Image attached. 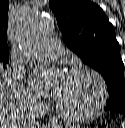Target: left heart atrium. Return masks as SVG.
Segmentation results:
<instances>
[{"label":"left heart atrium","mask_w":125,"mask_h":128,"mask_svg":"<svg viewBox=\"0 0 125 128\" xmlns=\"http://www.w3.org/2000/svg\"><path fill=\"white\" fill-rule=\"evenodd\" d=\"M65 75L55 71L49 74L48 79H43L42 76H35L31 79V85L40 93L57 99L64 84Z\"/></svg>","instance_id":"left-heart-atrium-1"}]
</instances>
